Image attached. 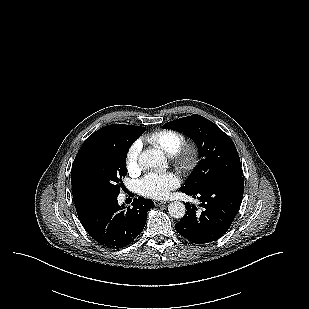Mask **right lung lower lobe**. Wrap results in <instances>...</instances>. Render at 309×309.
<instances>
[{
	"label": "right lung lower lobe",
	"mask_w": 309,
	"mask_h": 309,
	"mask_svg": "<svg viewBox=\"0 0 309 309\" xmlns=\"http://www.w3.org/2000/svg\"><path fill=\"white\" fill-rule=\"evenodd\" d=\"M152 200L139 197L133 207L124 210L117 196L94 198L76 207L79 220L88 234L100 245L119 249L131 244L142 232Z\"/></svg>",
	"instance_id": "98d812e1"
}]
</instances>
